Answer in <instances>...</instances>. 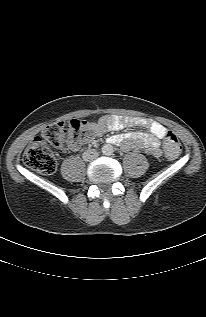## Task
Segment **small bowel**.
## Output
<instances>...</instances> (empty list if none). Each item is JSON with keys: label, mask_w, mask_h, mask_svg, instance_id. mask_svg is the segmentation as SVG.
<instances>
[{"label": "small bowel", "mask_w": 206, "mask_h": 317, "mask_svg": "<svg viewBox=\"0 0 206 317\" xmlns=\"http://www.w3.org/2000/svg\"><path fill=\"white\" fill-rule=\"evenodd\" d=\"M143 126L148 129L146 132L132 131L115 134L108 138L112 144L121 145L125 150L141 149L150 156H160L161 140L168 132L161 123L136 116H106L101 118L94 126L97 134L106 130L119 131L128 127ZM80 144L74 145L71 149L77 150Z\"/></svg>", "instance_id": "obj_1"}]
</instances>
